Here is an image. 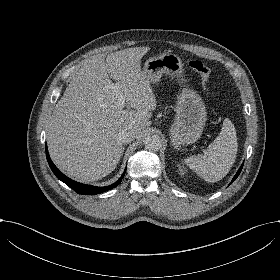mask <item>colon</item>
Segmentation results:
<instances>
[{
    "mask_svg": "<svg viewBox=\"0 0 280 280\" xmlns=\"http://www.w3.org/2000/svg\"><path fill=\"white\" fill-rule=\"evenodd\" d=\"M187 65L193 72L199 74L202 77L204 84H209L210 69L204 62L199 59L192 58L187 61Z\"/></svg>",
    "mask_w": 280,
    "mask_h": 280,
    "instance_id": "1",
    "label": "colon"
}]
</instances>
